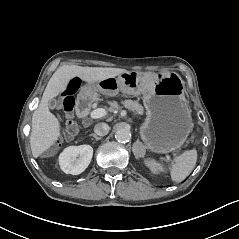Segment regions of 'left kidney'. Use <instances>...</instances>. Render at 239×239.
Listing matches in <instances>:
<instances>
[{
    "instance_id": "1",
    "label": "left kidney",
    "mask_w": 239,
    "mask_h": 239,
    "mask_svg": "<svg viewBox=\"0 0 239 239\" xmlns=\"http://www.w3.org/2000/svg\"><path fill=\"white\" fill-rule=\"evenodd\" d=\"M148 165L151 167L152 170H155V164L154 163L149 162Z\"/></svg>"
}]
</instances>
